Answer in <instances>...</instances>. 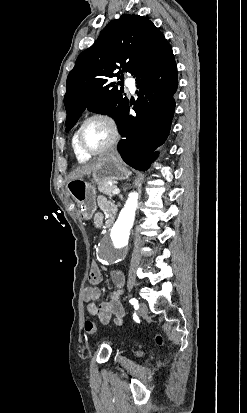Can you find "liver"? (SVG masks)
I'll use <instances>...</instances> for the list:
<instances>
[{
  "label": "liver",
  "mask_w": 247,
  "mask_h": 413,
  "mask_svg": "<svg viewBox=\"0 0 247 413\" xmlns=\"http://www.w3.org/2000/svg\"><path fill=\"white\" fill-rule=\"evenodd\" d=\"M100 160H102V158H99V160H96V162H88V164L77 166V168H74V170L70 172L69 180H74V178H83L84 174H89V172H92V170H94L96 164H99Z\"/></svg>",
  "instance_id": "6515ba94"
}]
</instances>
